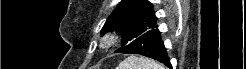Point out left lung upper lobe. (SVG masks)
<instances>
[{"instance_id":"left-lung-upper-lobe-1","label":"left lung upper lobe","mask_w":246,"mask_h":69,"mask_svg":"<svg viewBox=\"0 0 246 69\" xmlns=\"http://www.w3.org/2000/svg\"><path fill=\"white\" fill-rule=\"evenodd\" d=\"M157 17L153 4L148 0H122L104 24L101 35L117 31L122 35V44H129L147 31L156 28Z\"/></svg>"}]
</instances>
